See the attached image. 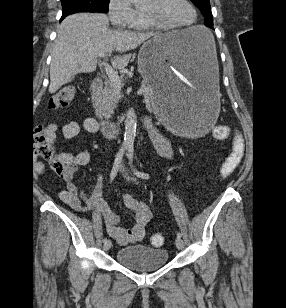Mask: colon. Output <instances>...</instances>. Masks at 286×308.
<instances>
[{"mask_svg": "<svg viewBox=\"0 0 286 308\" xmlns=\"http://www.w3.org/2000/svg\"><path fill=\"white\" fill-rule=\"evenodd\" d=\"M77 89L74 85H68L58 90L49 100L48 107L51 110H60L68 107L75 98ZM231 128L228 126H218L214 129L213 134L217 139H228ZM35 151L38 156L47 160L51 169L60 176L66 173L64 162L58 157L52 139L43 127L35 130ZM244 155V144L242 140H234L230 154L223 162L220 173L223 178L230 177L239 167ZM151 245L160 247L164 243L161 234H153L150 238Z\"/></svg>", "mask_w": 286, "mask_h": 308, "instance_id": "colon-1", "label": "colon"}]
</instances>
